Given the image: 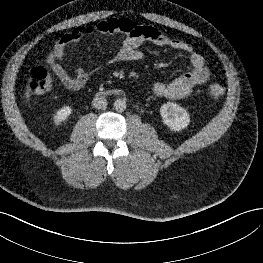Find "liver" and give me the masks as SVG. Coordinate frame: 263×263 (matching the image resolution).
Masks as SVG:
<instances>
[{"instance_id": "1", "label": "liver", "mask_w": 263, "mask_h": 263, "mask_svg": "<svg viewBox=\"0 0 263 263\" xmlns=\"http://www.w3.org/2000/svg\"><path fill=\"white\" fill-rule=\"evenodd\" d=\"M25 95H26L27 101L29 102V100H30V93H29V90H26Z\"/></svg>"}]
</instances>
